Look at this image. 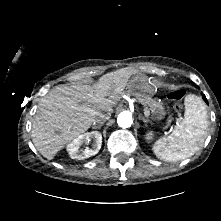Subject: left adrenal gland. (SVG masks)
Here are the masks:
<instances>
[{"mask_svg": "<svg viewBox=\"0 0 221 221\" xmlns=\"http://www.w3.org/2000/svg\"><path fill=\"white\" fill-rule=\"evenodd\" d=\"M141 119L144 123H152V121L149 120L148 118L142 117Z\"/></svg>", "mask_w": 221, "mask_h": 221, "instance_id": "obj_1", "label": "left adrenal gland"}]
</instances>
